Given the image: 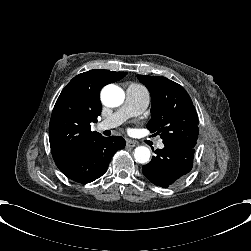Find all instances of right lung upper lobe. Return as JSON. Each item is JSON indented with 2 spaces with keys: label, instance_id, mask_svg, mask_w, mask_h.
Here are the masks:
<instances>
[{
  "label": "right lung upper lobe",
  "instance_id": "right-lung-upper-lobe-1",
  "mask_svg": "<svg viewBox=\"0 0 251 251\" xmlns=\"http://www.w3.org/2000/svg\"><path fill=\"white\" fill-rule=\"evenodd\" d=\"M126 75L127 72L90 70L74 77L62 90L49 124L51 153L58 168L71 163L102 136L90 129L101 114V88Z\"/></svg>",
  "mask_w": 251,
  "mask_h": 251
}]
</instances>
